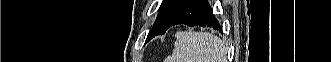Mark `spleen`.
Instances as JSON below:
<instances>
[{
	"instance_id": "3e777b00",
	"label": "spleen",
	"mask_w": 331,
	"mask_h": 62,
	"mask_svg": "<svg viewBox=\"0 0 331 62\" xmlns=\"http://www.w3.org/2000/svg\"><path fill=\"white\" fill-rule=\"evenodd\" d=\"M168 62H223L226 49L220 38L207 32H177Z\"/></svg>"
}]
</instances>
